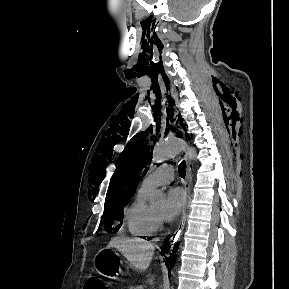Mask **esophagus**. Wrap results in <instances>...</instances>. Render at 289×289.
Masks as SVG:
<instances>
[{"label": "esophagus", "instance_id": "esophagus-1", "mask_svg": "<svg viewBox=\"0 0 289 289\" xmlns=\"http://www.w3.org/2000/svg\"><path fill=\"white\" fill-rule=\"evenodd\" d=\"M185 163H186V177H185L184 187H185L186 199H185V204L182 208L178 229L176 230V232L173 234V236L171 238V239H174V242H176L180 238L182 231H183V228L185 226V221H186V211H187V202H188V198H189V182H190V175H191V166H190V162L187 158H185Z\"/></svg>", "mask_w": 289, "mask_h": 289}]
</instances>
